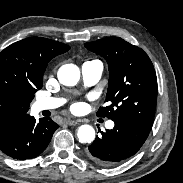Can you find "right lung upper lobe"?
I'll use <instances>...</instances> for the list:
<instances>
[{"instance_id":"obj_1","label":"right lung upper lobe","mask_w":183,"mask_h":183,"mask_svg":"<svg viewBox=\"0 0 183 183\" xmlns=\"http://www.w3.org/2000/svg\"><path fill=\"white\" fill-rule=\"evenodd\" d=\"M69 46L42 37H31L0 53V132L19 115L27 113L34 93L41 89L48 62Z\"/></svg>"}]
</instances>
